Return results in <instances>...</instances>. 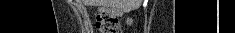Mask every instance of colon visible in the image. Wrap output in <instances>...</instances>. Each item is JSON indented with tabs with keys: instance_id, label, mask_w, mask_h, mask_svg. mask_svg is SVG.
Here are the masks:
<instances>
[{
	"instance_id": "colon-1",
	"label": "colon",
	"mask_w": 235,
	"mask_h": 33,
	"mask_svg": "<svg viewBox=\"0 0 235 33\" xmlns=\"http://www.w3.org/2000/svg\"><path fill=\"white\" fill-rule=\"evenodd\" d=\"M119 13L111 9H103L97 15L96 29L99 33H121L118 19Z\"/></svg>"
}]
</instances>
